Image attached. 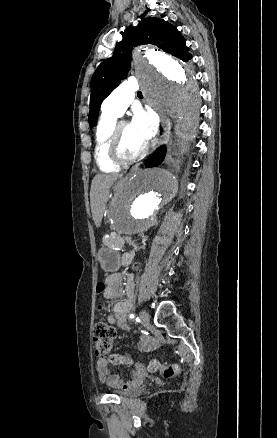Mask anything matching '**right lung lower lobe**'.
<instances>
[{"mask_svg": "<svg viewBox=\"0 0 277 438\" xmlns=\"http://www.w3.org/2000/svg\"><path fill=\"white\" fill-rule=\"evenodd\" d=\"M166 154L165 147L159 148L153 155L149 158L148 162L146 163L147 167H155L161 164Z\"/></svg>", "mask_w": 277, "mask_h": 438, "instance_id": "right-lung-lower-lobe-1", "label": "right lung lower lobe"}]
</instances>
